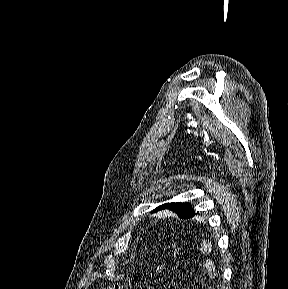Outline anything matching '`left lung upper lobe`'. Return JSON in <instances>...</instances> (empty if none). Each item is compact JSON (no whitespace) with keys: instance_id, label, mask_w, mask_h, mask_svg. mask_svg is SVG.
<instances>
[{"instance_id":"obj_1","label":"left lung upper lobe","mask_w":288,"mask_h":289,"mask_svg":"<svg viewBox=\"0 0 288 289\" xmlns=\"http://www.w3.org/2000/svg\"><path fill=\"white\" fill-rule=\"evenodd\" d=\"M162 209H168L177 213L178 217L181 219H187L194 212L190 203H166L155 208L153 212Z\"/></svg>"}]
</instances>
